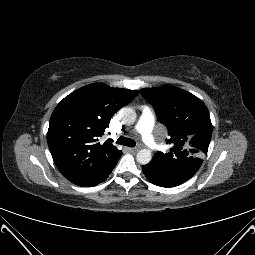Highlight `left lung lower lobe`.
I'll return each instance as SVG.
<instances>
[{
    "mask_svg": "<svg viewBox=\"0 0 255 255\" xmlns=\"http://www.w3.org/2000/svg\"><path fill=\"white\" fill-rule=\"evenodd\" d=\"M142 171L144 173V175L148 178V180L157 185V186H161V187H174V186H178L180 185L181 183H176V182H173L167 178H164L160 175H158L157 173L151 171L148 167L146 166H143L142 167Z\"/></svg>",
    "mask_w": 255,
    "mask_h": 255,
    "instance_id": "1",
    "label": "left lung lower lobe"
}]
</instances>
